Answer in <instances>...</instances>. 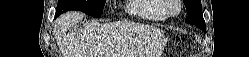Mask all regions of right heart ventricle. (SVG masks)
<instances>
[{
    "label": "right heart ventricle",
    "instance_id": "right-heart-ventricle-1",
    "mask_svg": "<svg viewBox=\"0 0 249 57\" xmlns=\"http://www.w3.org/2000/svg\"><path fill=\"white\" fill-rule=\"evenodd\" d=\"M165 0H129L127 11L130 15L148 21H164L168 18Z\"/></svg>",
    "mask_w": 249,
    "mask_h": 57
}]
</instances>
